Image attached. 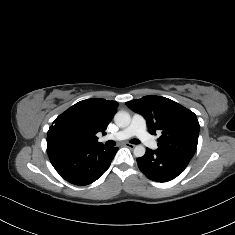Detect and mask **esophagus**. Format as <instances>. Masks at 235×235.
<instances>
[{
	"instance_id": "obj_1",
	"label": "esophagus",
	"mask_w": 235,
	"mask_h": 235,
	"mask_svg": "<svg viewBox=\"0 0 235 235\" xmlns=\"http://www.w3.org/2000/svg\"><path fill=\"white\" fill-rule=\"evenodd\" d=\"M124 146H126V147H128L130 149H133V148H135L136 145L126 142V143H124Z\"/></svg>"
}]
</instances>
